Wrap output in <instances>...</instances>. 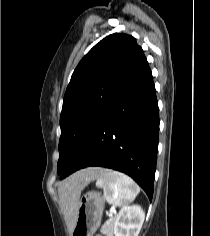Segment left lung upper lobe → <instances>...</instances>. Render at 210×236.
<instances>
[{
    "mask_svg": "<svg viewBox=\"0 0 210 236\" xmlns=\"http://www.w3.org/2000/svg\"><path fill=\"white\" fill-rule=\"evenodd\" d=\"M147 66L136 39L125 34L105 37L84 56L63 100L58 174H62L98 116Z\"/></svg>",
    "mask_w": 210,
    "mask_h": 236,
    "instance_id": "obj_1",
    "label": "left lung upper lobe"
}]
</instances>
